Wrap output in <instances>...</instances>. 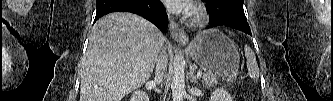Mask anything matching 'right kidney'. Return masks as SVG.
<instances>
[{"label": "right kidney", "instance_id": "right-kidney-1", "mask_svg": "<svg viewBox=\"0 0 333 101\" xmlns=\"http://www.w3.org/2000/svg\"><path fill=\"white\" fill-rule=\"evenodd\" d=\"M130 101H149V97L145 92L135 91L131 96Z\"/></svg>", "mask_w": 333, "mask_h": 101}]
</instances>
